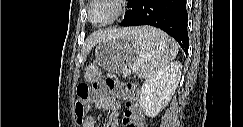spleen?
<instances>
[{"label":"spleen","instance_id":"spleen-1","mask_svg":"<svg viewBox=\"0 0 243 127\" xmlns=\"http://www.w3.org/2000/svg\"><path fill=\"white\" fill-rule=\"evenodd\" d=\"M130 37L139 48V57L133 63V68L140 78L155 74L167 66L178 53L177 43L157 28H136Z\"/></svg>","mask_w":243,"mask_h":127}]
</instances>
